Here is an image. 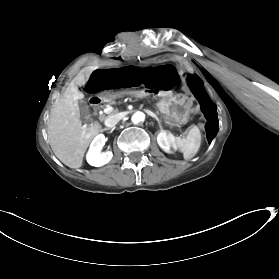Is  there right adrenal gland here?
Returning <instances> with one entry per match:
<instances>
[{"label": "right adrenal gland", "instance_id": "2a0ac1e0", "mask_svg": "<svg viewBox=\"0 0 279 279\" xmlns=\"http://www.w3.org/2000/svg\"><path fill=\"white\" fill-rule=\"evenodd\" d=\"M110 130V128H104L103 131Z\"/></svg>", "mask_w": 279, "mask_h": 279}]
</instances>
